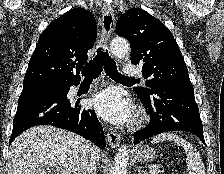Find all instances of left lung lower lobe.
Wrapping results in <instances>:
<instances>
[{"label":"left lung lower lobe","instance_id":"1","mask_svg":"<svg viewBox=\"0 0 224 174\" xmlns=\"http://www.w3.org/2000/svg\"><path fill=\"white\" fill-rule=\"evenodd\" d=\"M138 97L147 108L151 121L134 134V143L177 130L191 132L205 143L193 87L158 86L153 87L149 95Z\"/></svg>","mask_w":224,"mask_h":174}]
</instances>
